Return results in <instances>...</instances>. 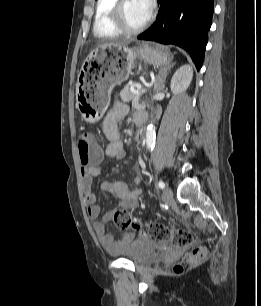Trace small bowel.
<instances>
[{
	"label": "small bowel",
	"instance_id": "small-bowel-1",
	"mask_svg": "<svg viewBox=\"0 0 261 306\" xmlns=\"http://www.w3.org/2000/svg\"><path fill=\"white\" fill-rule=\"evenodd\" d=\"M129 113L127 104L116 102L113 107L105 115L101 129L107 139V145L103 151L101 159L96 163H91L82 167V185L84 190L87 211L90 219L93 221V230L104 248L113 254L122 253L130 249L136 242L134 236L126 233L121 240L116 241L114 238L105 232V225L112 220L113 210L106 212L102 219L98 221L100 216V206L97 203V198L93 190V178L101 174L100 163L103 157L121 160L125 157L126 152L121 141L119 132V123ZM137 172L140 171V165L135 166ZM140 183V177L134 178V184ZM102 190L115 195L120 200V207L128 210H135L139 206L140 188L131 189L128 182L124 180L118 181H103L101 184Z\"/></svg>",
	"mask_w": 261,
	"mask_h": 306
}]
</instances>
